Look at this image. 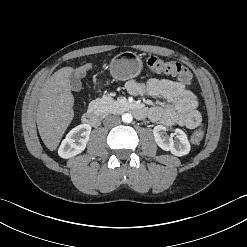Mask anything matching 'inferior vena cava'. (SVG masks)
<instances>
[{"instance_id": "inferior-vena-cava-1", "label": "inferior vena cava", "mask_w": 247, "mask_h": 247, "mask_svg": "<svg viewBox=\"0 0 247 247\" xmlns=\"http://www.w3.org/2000/svg\"><path fill=\"white\" fill-rule=\"evenodd\" d=\"M105 126H114L120 123V118L117 115H109L103 121Z\"/></svg>"}]
</instances>
